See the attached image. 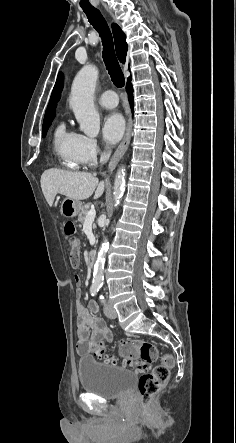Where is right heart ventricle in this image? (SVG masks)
I'll return each mask as SVG.
<instances>
[{
  "label": "right heart ventricle",
  "instance_id": "obj_1",
  "mask_svg": "<svg viewBox=\"0 0 236 443\" xmlns=\"http://www.w3.org/2000/svg\"><path fill=\"white\" fill-rule=\"evenodd\" d=\"M79 134L59 124L53 134L52 148L59 164L70 170L79 169L83 163L78 154Z\"/></svg>",
  "mask_w": 236,
  "mask_h": 443
}]
</instances>
